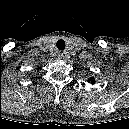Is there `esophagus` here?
Returning <instances> with one entry per match:
<instances>
[{
    "instance_id": "34e87169",
    "label": "esophagus",
    "mask_w": 129,
    "mask_h": 129,
    "mask_svg": "<svg viewBox=\"0 0 129 129\" xmlns=\"http://www.w3.org/2000/svg\"><path fill=\"white\" fill-rule=\"evenodd\" d=\"M58 57H59L60 59H64V58H65V52L60 51V52L58 53Z\"/></svg>"
}]
</instances>
